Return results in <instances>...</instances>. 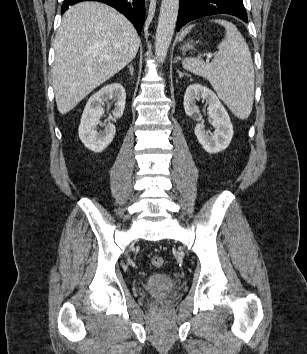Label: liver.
Masks as SVG:
<instances>
[{
  "label": "liver",
  "mask_w": 307,
  "mask_h": 354,
  "mask_svg": "<svg viewBox=\"0 0 307 354\" xmlns=\"http://www.w3.org/2000/svg\"><path fill=\"white\" fill-rule=\"evenodd\" d=\"M140 38L114 8L81 2L63 15L54 41L53 88L64 115L136 56Z\"/></svg>",
  "instance_id": "6515ba94"
}]
</instances>
